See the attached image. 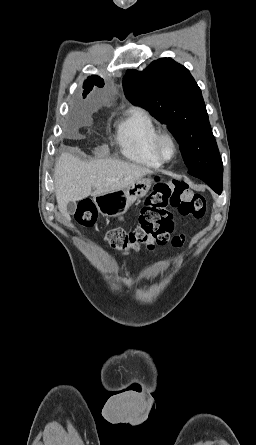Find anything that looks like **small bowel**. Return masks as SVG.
<instances>
[{
    "instance_id": "small-bowel-1",
    "label": "small bowel",
    "mask_w": 256,
    "mask_h": 445,
    "mask_svg": "<svg viewBox=\"0 0 256 445\" xmlns=\"http://www.w3.org/2000/svg\"><path fill=\"white\" fill-rule=\"evenodd\" d=\"M183 241H184V237H183V235H175V236L172 238V240H171V245H172L174 248H179V247L182 246ZM163 265H164L163 262H159V263L155 266V269H158V268L162 267Z\"/></svg>"
}]
</instances>
